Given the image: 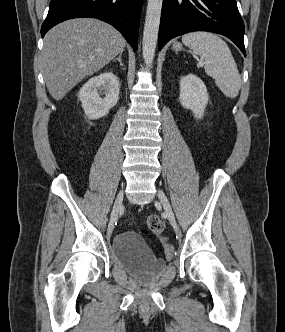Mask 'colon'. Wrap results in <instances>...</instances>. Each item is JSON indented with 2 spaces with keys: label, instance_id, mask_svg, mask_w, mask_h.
Wrapping results in <instances>:
<instances>
[{
  "label": "colon",
  "instance_id": "1",
  "mask_svg": "<svg viewBox=\"0 0 285 332\" xmlns=\"http://www.w3.org/2000/svg\"><path fill=\"white\" fill-rule=\"evenodd\" d=\"M147 225L150 231H152L155 234H161L165 228V224L163 220L157 216V215H151L149 216L147 220ZM174 250L173 247L165 243L164 244V256L167 260H170L173 257Z\"/></svg>",
  "mask_w": 285,
  "mask_h": 332
}]
</instances>
